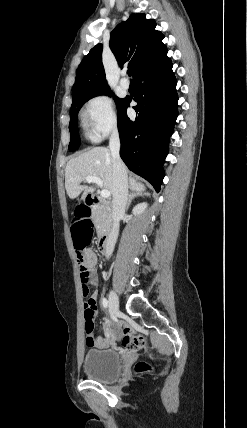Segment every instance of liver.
Here are the masks:
<instances>
[{"label": "liver", "instance_id": "1", "mask_svg": "<svg viewBox=\"0 0 247 428\" xmlns=\"http://www.w3.org/2000/svg\"><path fill=\"white\" fill-rule=\"evenodd\" d=\"M87 176L99 177L103 181L104 188L113 194V164L108 148L93 147L68 161L65 169V188L71 199L78 197L82 192L81 199H85L89 193L95 191L93 186L81 185ZM129 187L136 192L145 190V186L132 177H129Z\"/></svg>", "mask_w": 247, "mask_h": 428}]
</instances>
